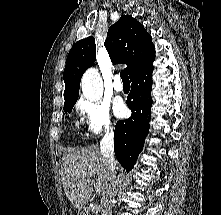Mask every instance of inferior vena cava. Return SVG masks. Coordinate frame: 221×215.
Masks as SVG:
<instances>
[{"label":"inferior vena cava","instance_id":"1","mask_svg":"<svg viewBox=\"0 0 221 215\" xmlns=\"http://www.w3.org/2000/svg\"><path fill=\"white\" fill-rule=\"evenodd\" d=\"M101 153L108 166V184L101 197L102 215H112V198L115 193L116 168L114 158L113 132L107 131L100 142Z\"/></svg>","mask_w":221,"mask_h":215}]
</instances>
